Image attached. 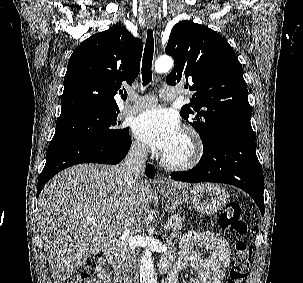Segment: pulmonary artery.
Returning <instances> with one entry per match:
<instances>
[{"mask_svg": "<svg viewBox=\"0 0 303 283\" xmlns=\"http://www.w3.org/2000/svg\"><path fill=\"white\" fill-rule=\"evenodd\" d=\"M179 91L172 87L165 85L160 90V97L163 100L170 101L177 98ZM156 103V97L154 95H145L142 97H136L135 94H129V103L125 104L121 109L122 115L135 114L146 108L154 106Z\"/></svg>", "mask_w": 303, "mask_h": 283, "instance_id": "e3ab8cb5", "label": "pulmonary artery"}]
</instances>
